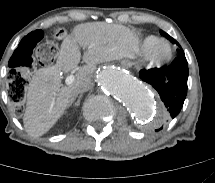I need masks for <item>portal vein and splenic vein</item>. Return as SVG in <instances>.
I'll return each instance as SVG.
<instances>
[{
	"instance_id": "18ae733b",
	"label": "portal vein and splenic vein",
	"mask_w": 215,
	"mask_h": 183,
	"mask_svg": "<svg viewBox=\"0 0 215 183\" xmlns=\"http://www.w3.org/2000/svg\"><path fill=\"white\" fill-rule=\"evenodd\" d=\"M75 80V76L73 74H70L69 76H67L65 82L67 85H71Z\"/></svg>"
}]
</instances>
